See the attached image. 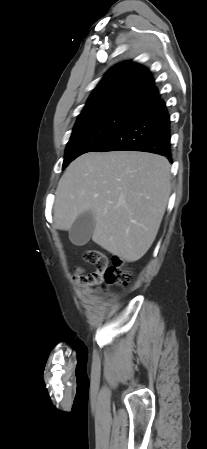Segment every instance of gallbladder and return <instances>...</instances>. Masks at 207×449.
<instances>
[{
    "label": "gallbladder",
    "mask_w": 207,
    "mask_h": 449,
    "mask_svg": "<svg viewBox=\"0 0 207 449\" xmlns=\"http://www.w3.org/2000/svg\"><path fill=\"white\" fill-rule=\"evenodd\" d=\"M95 223L94 216L90 211L81 213L69 229L71 242L77 246L85 245L93 234Z\"/></svg>",
    "instance_id": "bac80fb5"
}]
</instances>
